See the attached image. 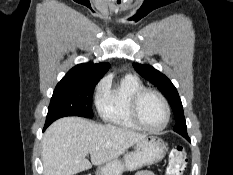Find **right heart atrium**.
<instances>
[{
  "instance_id": "d8ad5b80",
  "label": "right heart atrium",
  "mask_w": 233,
  "mask_h": 175,
  "mask_svg": "<svg viewBox=\"0 0 233 175\" xmlns=\"http://www.w3.org/2000/svg\"><path fill=\"white\" fill-rule=\"evenodd\" d=\"M105 81H106V80H104V81H102V82L99 83V85H98V88H99V89H101V88L104 86Z\"/></svg>"
}]
</instances>
